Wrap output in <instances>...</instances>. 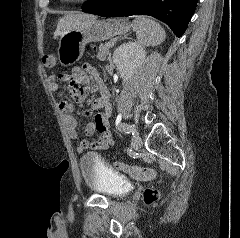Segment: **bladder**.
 <instances>
[{
	"mask_svg": "<svg viewBox=\"0 0 240 238\" xmlns=\"http://www.w3.org/2000/svg\"><path fill=\"white\" fill-rule=\"evenodd\" d=\"M84 184L92 191L109 198L125 196L130 182L125 176L106 165L95 152H87L79 162Z\"/></svg>",
	"mask_w": 240,
	"mask_h": 238,
	"instance_id": "31cf9c89",
	"label": "bladder"
}]
</instances>
